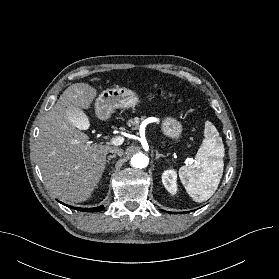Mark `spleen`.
Here are the masks:
<instances>
[{"instance_id":"spleen-1","label":"spleen","mask_w":279,"mask_h":279,"mask_svg":"<svg viewBox=\"0 0 279 279\" xmlns=\"http://www.w3.org/2000/svg\"><path fill=\"white\" fill-rule=\"evenodd\" d=\"M204 136L194 163L179 170L180 180L187 193L199 203L215 193L224 169V145L217 129L209 121L205 123Z\"/></svg>"}]
</instances>
